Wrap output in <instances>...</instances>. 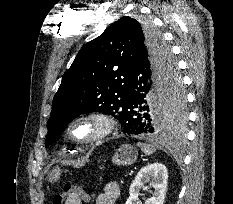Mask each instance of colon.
Wrapping results in <instances>:
<instances>
[{"instance_id": "5ec220e1", "label": "colon", "mask_w": 233, "mask_h": 204, "mask_svg": "<svg viewBox=\"0 0 233 204\" xmlns=\"http://www.w3.org/2000/svg\"><path fill=\"white\" fill-rule=\"evenodd\" d=\"M93 177L99 179L100 173L94 172ZM88 198L89 195L80 187L66 183L63 186L62 192L54 196L52 204H82V202Z\"/></svg>"}]
</instances>
